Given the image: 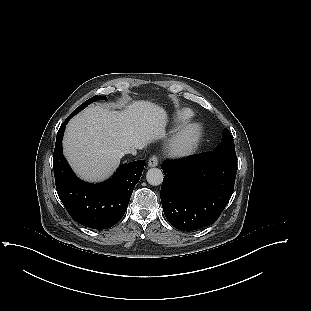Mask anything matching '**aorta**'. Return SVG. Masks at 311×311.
Returning <instances> with one entry per match:
<instances>
[{
    "label": "aorta",
    "instance_id": "obj_1",
    "mask_svg": "<svg viewBox=\"0 0 311 311\" xmlns=\"http://www.w3.org/2000/svg\"><path fill=\"white\" fill-rule=\"evenodd\" d=\"M163 173L159 168H151L146 173L147 182L150 185L158 186L163 181Z\"/></svg>",
    "mask_w": 311,
    "mask_h": 311
}]
</instances>
